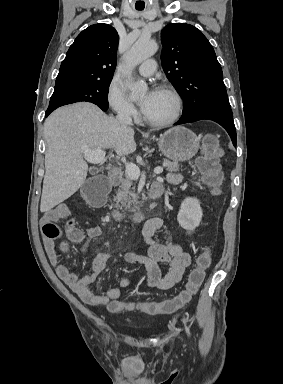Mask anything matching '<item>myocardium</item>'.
I'll use <instances>...</instances> for the list:
<instances>
[{"instance_id": "obj_1", "label": "myocardium", "mask_w": 283, "mask_h": 384, "mask_svg": "<svg viewBox=\"0 0 283 384\" xmlns=\"http://www.w3.org/2000/svg\"><path fill=\"white\" fill-rule=\"evenodd\" d=\"M158 89L165 91L172 99L174 104V110L172 115L169 118L161 121L149 120L146 117H144L143 114L141 115V117L144 123L151 127L164 128L174 124L179 119L182 112V100L178 92L169 85H166V84L160 85Z\"/></svg>"}]
</instances>
